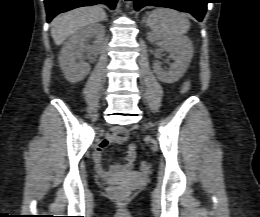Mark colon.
Returning <instances> with one entry per match:
<instances>
[{"label": "colon", "instance_id": "5ec220e1", "mask_svg": "<svg viewBox=\"0 0 260 217\" xmlns=\"http://www.w3.org/2000/svg\"><path fill=\"white\" fill-rule=\"evenodd\" d=\"M140 168L144 172H148L151 169V165L148 162H141ZM109 192L120 202L126 201L128 197L127 191L122 186H113L110 188Z\"/></svg>", "mask_w": 260, "mask_h": 217}]
</instances>
